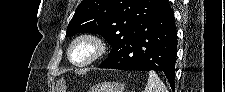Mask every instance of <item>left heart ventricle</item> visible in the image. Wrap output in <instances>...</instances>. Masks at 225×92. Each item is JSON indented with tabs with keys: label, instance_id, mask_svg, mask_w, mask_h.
Returning <instances> with one entry per match:
<instances>
[{
	"label": "left heart ventricle",
	"instance_id": "b2bd125f",
	"mask_svg": "<svg viewBox=\"0 0 225 92\" xmlns=\"http://www.w3.org/2000/svg\"><path fill=\"white\" fill-rule=\"evenodd\" d=\"M93 52L92 46L87 43H79L77 44L72 52L73 59L76 61L86 60L91 56Z\"/></svg>",
	"mask_w": 225,
	"mask_h": 92
}]
</instances>
